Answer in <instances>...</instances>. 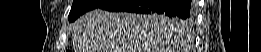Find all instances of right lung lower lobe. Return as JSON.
<instances>
[{"instance_id":"1","label":"right lung lower lobe","mask_w":261,"mask_h":52,"mask_svg":"<svg viewBox=\"0 0 261 52\" xmlns=\"http://www.w3.org/2000/svg\"><path fill=\"white\" fill-rule=\"evenodd\" d=\"M98 8L189 19L193 17L194 3L190 0H107Z\"/></svg>"}]
</instances>
